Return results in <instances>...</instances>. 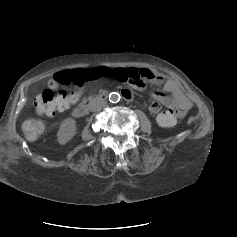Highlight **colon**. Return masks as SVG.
I'll return each mask as SVG.
<instances>
[{
  "mask_svg": "<svg viewBox=\"0 0 237 237\" xmlns=\"http://www.w3.org/2000/svg\"><path fill=\"white\" fill-rule=\"evenodd\" d=\"M98 79H114L130 84L137 89L144 88L146 82L144 70L137 68L75 69L71 71H61L53 76L49 88L42 93L36 105L37 111L47 116H53L56 112L65 110L67 93L62 90L58 94H55V90L71 84L82 87L85 82ZM156 122L161 127L168 128L175 125L176 119L169 112L165 111L157 114ZM23 131L28 139L35 140L43 133L44 124L40 120L30 119L24 122Z\"/></svg>",
  "mask_w": 237,
  "mask_h": 237,
  "instance_id": "obj_1",
  "label": "colon"
}]
</instances>
